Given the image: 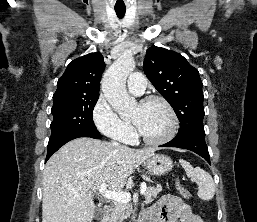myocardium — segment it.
Segmentation results:
<instances>
[{"label": "myocardium", "mask_w": 257, "mask_h": 222, "mask_svg": "<svg viewBox=\"0 0 257 222\" xmlns=\"http://www.w3.org/2000/svg\"><path fill=\"white\" fill-rule=\"evenodd\" d=\"M152 102H159L161 103L168 111L171 119V126L169 131L162 137L157 138V139H150L145 136H143L138 128L135 126V135L138 139H140L142 142H144L147 145H153V146H158V145H163L171 141L177 134L178 128H179V119L177 116V113L171 103L165 99L164 97L157 96V95H152L145 97L139 102V105L144 106Z\"/></svg>", "instance_id": "myocardium-1"}]
</instances>
